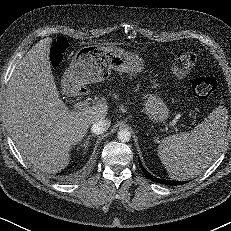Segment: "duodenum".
<instances>
[{
  "instance_id": "1",
  "label": "duodenum",
  "mask_w": 231,
  "mask_h": 231,
  "mask_svg": "<svg viewBox=\"0 0 231 231\" xmlns=\"http://www.w3.org/2000/svg\"><path fill=\"white\" fill-rule=\"evenodd\" d=\"M67 90L70 94H75L76 92L84 91V89L76 88V87H73L72 85H69L67 87Z\"/></svg>"
}]
</instances>
